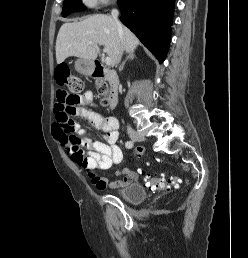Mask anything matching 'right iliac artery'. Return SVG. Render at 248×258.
<instances>
[{
	"label": "right iliac artery",
	"mask_w": 248,
	"mask_h": 258,
	"mask_svg": "<svg viewBox=\"0 0 248 258\" xmlns=\"http://www.w3.org/2000/svg\"><path fill=\"white\" fill-rule=\"evenodd\" d=\"M133 145H134V143L132 141H127L125 144L126 148H132Z\"/></svg>",
	"instance_id": "1"
}]
</instances>
